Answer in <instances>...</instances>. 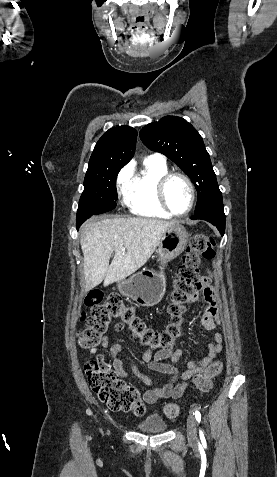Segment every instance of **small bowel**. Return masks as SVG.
I'll return each instance as SVG.
<instances>
[{
	"label": "small bowel",
	"mask_w": 277,
	"mask_h": 477,
	"mask_svg": "<svg viewBox=\"0 0 277 477\" xmlns=\"http://www.w3.org/2000/svg\"><path fill=\"white\" fill-rule=\"evenodd\" d=\"M211 283L212 275L209 273L208 276L202 279L201 284V298L206 304L204 313L201 317V324L207 331L213 332L214 339V342L208 344L207 355L200 360L189 361L187 364V369L183 372H179L175 364L182 356L181 349L159 350L154 356H152L151 351L147 349L142 356V360L147 363L148 368L152 371L168 374L171 376V379L162 387H152V379L149 376L141 373L136 365H133L132 372L142 381L144 385L151 387L144 391L143 397L145 402L153 404L160 399H177L181 397L189 388L192 378L195 375L204 372L212 364L217 354L222 350L223 338L218 332H216V329L220 325L219 300L216 290ZM199 299L200 297L197 295L193 298L192 302H197ZM124 328L125 325L122 323L115 326L116 331H121ZM101 346L103 348L109 349L112 359V367L116 374L121 378H126L128 376V372L119 356L122 346L119 343H111L109 337L107 336L103 338ZM90 353L95 356V359L105 361L104 355L97 348H91ZM168 359L171 361V363L165 362V360Z\"/></svg>",
	"instance_id": "obj_1"
}]
</instances>
